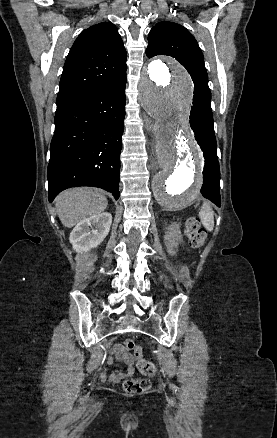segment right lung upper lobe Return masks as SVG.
<instances>
[{"mask_svg": "<svg viewBox=\"0 0 277 438\" xmlns=\"http://www.w3.org/2000/svg\"><path fill=\"white\" fill-rule=\"evenodd\" d=\"M126 50L110 22L93 25L80 33L67 56L60 80L57 105L112 83L126 74ZM104 63L109 70H96Z\"/></svg>", "mask_w": 277, "mask_h": 438, "instance_id": "right-lung-upper-lobe-1", "label": "right lung upper lobe"}]
</instances>
